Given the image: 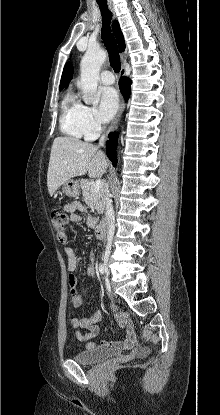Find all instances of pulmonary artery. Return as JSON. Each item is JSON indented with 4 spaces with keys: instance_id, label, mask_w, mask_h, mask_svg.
Instances as JSON below:
<instances>
[{
    "instance_id": "obj_1",
    "label": "pulmonary artery",
    "mask_w": 220,
    "mask_h": 415,
    "mask_svg": "<svg viewBox=\"0 0 220 415\" xmlns=\"http://www.w3.org/2000/svg\"><path fill=\"white\" fill-rule=\"evenodd\" d=\"M100 81L104 85H111L115 82V76L111 71H103L100 75ZM94 138H91L89 140H92Z\"/></svg>"
}]
</instances>
